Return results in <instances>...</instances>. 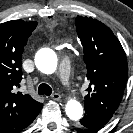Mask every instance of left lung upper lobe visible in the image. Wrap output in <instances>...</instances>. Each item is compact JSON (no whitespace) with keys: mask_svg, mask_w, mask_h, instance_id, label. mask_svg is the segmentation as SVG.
I'll list each match as a JSON object with an SVG mask.
<instances>
[{"mask_svg":"<svg viewBox=\"0 0 133 133\" xmlns=\"http://www.w3.org/2000/svg\"><path fill=\"white\" fill-rule=\"evenodd\" d=\"M75 21L90 81L85 109L113 115L128 75L124 50L113 32L100 21L82 16H77Z\"/></svg>","mask_w":133,"mask_h":133,"instance_id":"obj_1","label":"left lung upper lobe"}]
</instances>
